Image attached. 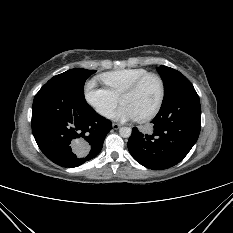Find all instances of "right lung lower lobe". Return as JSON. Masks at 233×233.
Returning <instances> with one entry per match:
<instances>
[{
	"label": "right lung lower lobe",
	"instance_id": "right-lung-lower-lobe-1",
	"mask_svg": "<svg viewBox=\"0 0 233 233\" xmlns=\"http://www.w3.org/2000/svg\"><path fill=\"white\" fill-rule=\"evenodd\" d=\"M112 123L68 88L45 84L34 97L32 132L43 152L62 167H77L102 149Z\"/></svg>",
	"mask_w": 233,
	"mask_h": 233
}]
</instances>
